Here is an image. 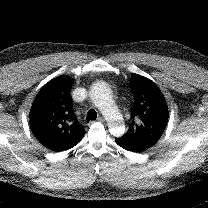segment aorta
I'll return each instance as SVG.
<instances>
[{
    "mask_svg": "<svg viewBox=\"0 0 208 208\" xmlns=\"http://www.w3.org/2000/svg\"><path fill=\"white\" fill-rule=\"evenodd\" d=\"M90 96L95 106L108 120L110 133L114 136L123 135L125 132L123 118L108 85L102 81L94 83L91 87Z\"/></svg>",
    "mask_w": 208,
    "mask_h": 208,
    "instance_id": "762f6f07",
    "label": "aorta"
}]
</instances>
